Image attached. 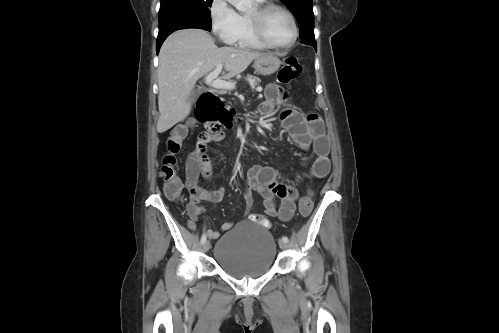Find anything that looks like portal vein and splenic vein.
I'll use <instances>...</instances> for the list:
<instances>
[{
  "label": "portal vein and splenic vein",
  "mask_w": 499,
  "mask_h": 333,
  "mask_svg": "<svg viewBox=\"0 0 499 333\" xmlns=\"http://www.w3.org/2000/svg\"><path fill=\"white\" fill-rule=\"evenodd\" d=\"M222 67H223L222 63L217 64L216 68L206 76L205 82L207 85L213 88L232 90L235 88V83L231 81L217 79L218 75L221 73ZM256 90L261 92L262 88H257Z\"/></svg>",
  "instance_id": "portal-vein-and-splenic-vein-1"
}]
</instances>
